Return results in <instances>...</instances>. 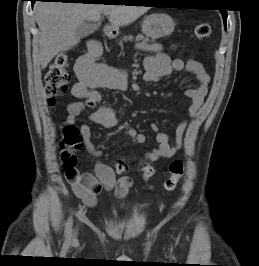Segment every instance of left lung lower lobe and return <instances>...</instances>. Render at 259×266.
Masks as SVG:
<instances>
[{"mask_svg": "<svg viewBox=\"0 0 259 266\" xmlns=\"http://www.w3.org/2000/svg\"><path fill=\"white\" fill-rule=\"evenodd\" d=\"M222 12V16H223V21H224V26L226 28V21H227V13L226 10H220Z\"/></svg>", "mask_w": 259, "mask_h": 266, "instance_id": "obj_1", "label": "left lung lower lobe"}]
</instances>
